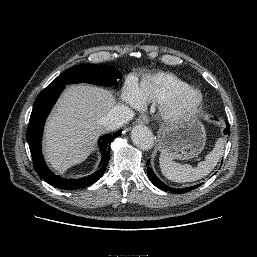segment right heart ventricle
Returning <instances> with one entry per match:
<instances>
[{
  "label": "right heart ventricle",
  "mask_w": 257,
  "mask_h": 257,
  "mask_svg": "<svg viewBox=\"0 0 257 257\" xmlns=\"http://www.w3.org/2000/svg\"><path fill=\"white\" fill-rule=\"evenodd\" d=\"M188 86V83L168 72L144 75L134 84V93L140 105L166 100L173 92Z\"/></svg>",
  "instance_id": "right-heart-ventricle-1"
}]
</instances>
